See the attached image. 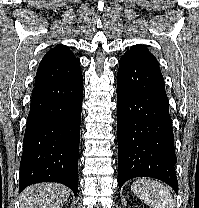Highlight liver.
Wrapping results in <instances>:
<instances>
[{"label": "liver", "mask_w": 199, "mask_h": 208, "mask_svg": "<svg viewBox=\"0 0 199 208\" xmlns=\"http://www.w3.org/2000/svg\"><path fill=\"white\" fill-rule=\"evenodd\" d=\"M69 190L59 183H39L27 187L21 195V208H62Z\"/></svg>", "instance_id": "1"}]
</instances>
